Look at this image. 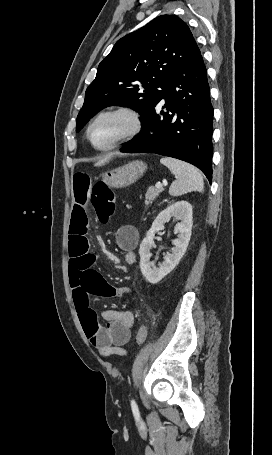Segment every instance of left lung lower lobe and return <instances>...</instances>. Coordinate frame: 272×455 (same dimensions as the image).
I'll return each mask as SVG.
<instances>
[{
	"label": "left lung lower lobe",
	"mask_w": 272,
	"mask_h": 455,
	"mask_svg": "<svg viewBox=\"0 0 272 455\" xmlns=\"http://www.w3.org/2000/svg\"><path fill=\"white\" fill-rule=\"evenodd\" d=\"M162 99L165 105L160 110ZM161 100L142 122L140 134L120 151L150 152L189 162L211 182L213 107L201 54L171 75Z\"/></svg>",
	"instance_id": "0a47b994"
}]
</instances>
